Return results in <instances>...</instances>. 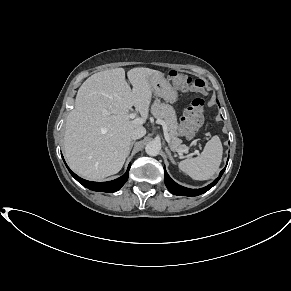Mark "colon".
Wrapping results in <instances>:
<instances>
[{"label": "colon", "instance_id": "1", "mask_svg": "<svg viewBox=\"0 0 291 291\" xmlns=\"http://www.w3.org/2000/svg\"><path fill=\"white\" fill-rule=\"evenodd\" d=\"M170 77L172 81L176 83H185L193 86H199L198 80H193L191 77L186 74L172 70L170 72ZM203 108H204V100L202 98H196L192 102V106L186 112L182 124L188 132H191L196 126H198L203 118Z\"/></svg>", "mask_w": 291, "mask_h": 291}]
</instances>
